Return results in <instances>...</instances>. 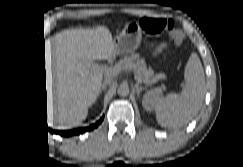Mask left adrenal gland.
Masks as SVG:
<instances>
[{"mask_svg": "<svg viewBox=\"0 0 243 167\" xmlns=\"http://www.w3.org/2000/svg\"><path fill=\"white\" fill-rule=\"evenodd\" d=\"M134 89H135V91H136L137 96L139 97L141 91L143 90V87H140L139 85L136 84V85L134 86Z\"/></svg>", "mask_w": 243, "mask_h": 167, "instance_id": "a2214340", "label": "left adrenal gland"}]
</instances>
